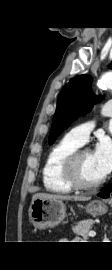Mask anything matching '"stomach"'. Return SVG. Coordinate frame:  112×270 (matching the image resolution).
<instances>
[{"label":"stomach","mask_w":112,"mask_h":270,"mask_svg":"<svg viewBox=\"0 0 112 270\" xmlns=\"http://www.w3.org/2000/svg\"><path fill=\"white\" fill-rule=\"evenodd\" d=\"M91 215H103L107 206L100 200H93L86 206ZM66 216V207L60 199L36 198L29 207L30 221L38 229L51 228L59 225Z\"/></svg>","instance_id":"stomach-1"}]
</instances>
